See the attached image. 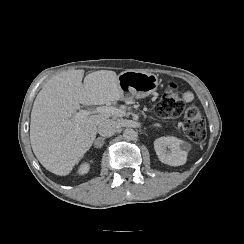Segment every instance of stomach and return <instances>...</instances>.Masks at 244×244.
Listing matches in <instances>:
<instances>
[{
    "label": "stomach",
    "instance_id": "obj_1",
    "mask_svg": "<svg viewBox=\"0 0 244 244\" xmlns=\"http://www.w3.org/2000/svg\"><path fill=\"white\" fill-rule=\"evenodd\" d=\"M118 87L123 93V100L133 97L144 98L157 90L158 77L153 73L125 70L117 75Z\"/></svg>",
    "mask_w": 244,
    "mask_h": 244
}]
</instances>
